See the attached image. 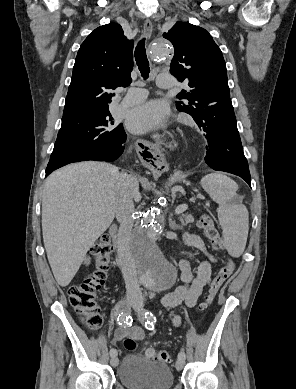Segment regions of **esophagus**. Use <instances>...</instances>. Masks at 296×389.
I'll use <instances>...</instances> for the list:
<instances>
[{"mask_svg":"<svg viewBox=\"0 0 296 389\" xmlns=\"http://www.w3.org/2000/svg\"><path fill=\"white\" fill-rule=\"evenodd\" d=\"M153 30V24L151 20L146 19L144 22V36L150 37ZM157 135L161 139H166L170 135V130L166 126H161L157 130ZM135 144L138 147L139 154L142 159V166L144 169H162V171L168 170V164L166 163L162 150L152 142H149L147 137L139 135L135 139Z\"/></svg>","mask_w":296,"mask_h":389,"instance_id":"obj_1","label":"esophagus"}]
</instances>
